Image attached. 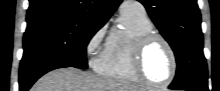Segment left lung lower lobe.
<instances>
[{"label": "left lung lower lobe", "mask_w": 220, "mask_h": 91, "mask_svg": "<svg viewBox=\"0 0 220 91\" xmlns=\"http://www.w3.org/2000/svg\"><path fill=\"white\" fill-rule=\"evenodd\" d=\"M170 89H173L172 86L169 87ZM183 90H186V91H208V88L206 89H199V88H187V87H183L181 88Z\"/></svg>", "instance_id": "obj_1"}]
</instances>
